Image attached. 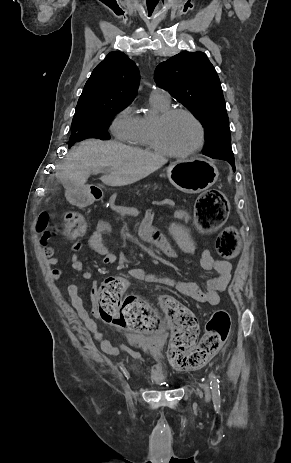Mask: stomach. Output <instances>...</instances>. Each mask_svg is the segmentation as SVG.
<instances>
[{
	"instance_id": "1",
	"label": "stomach",
	"mask_w": 291,
	"mask_h": 463,
	"mask_svg": "<svg viewBox=\"0 0 291 463\" xmlns=\"http://www.w3.org/2000/svg\"><path fill=\"white\" fill-rule=\"evenodd\" d=\"M218 175L216 166L201 158L180 159L167 168L170 182L177 189L190 194L210 188L217 181ZM66 197L75 205H84L89 195L85 186H74L67 191Z\"/></svg>"
}]
</instances>
